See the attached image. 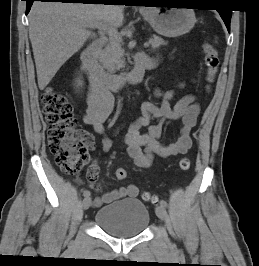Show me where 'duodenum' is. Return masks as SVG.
Wrapping results in <instances>:
<instances>
[{
	"instance_id": "410a0bca",
	"label": "duodenum",
	"mask_w": 259,
	"mask_h": 266,
	"mask_svg": "<svg viewBox=\"0 0 259 266\" xmlns=\"http://www.w3.org/2000/svg\"><path fill=\"white\" fill-rule=\"evenodd\" d=\"M106 42V37L101 35L93 41L82 53V63L90 76V81L103 90H117L127 84L140 83L148 68V61L137 57L134 68L123 74H111L104 70L98 60V55Z\"/></svg>"
}]
</instances>
